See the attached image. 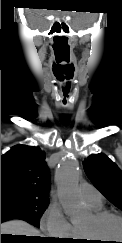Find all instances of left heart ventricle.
<instances>
[{
	"mask_svg": "<svg viewBox=\"0 0 122 243\" xmlns=\"http://www.w3.org/2000/svg\"><path fill=\"white\" fill-rule=\"evenodd\" d=\"M79 227L82 229H91L95 236L102 239H122V221L117 218L111 217L96 225L92 217L89 216ZM103 242L115 243V241Z\"/></svg>",
	"mask_w": 122,
	"mask_h": 243,
	"instance_id": "obj_1",
	"label": "left heart ventricle"
}]
</instances>
